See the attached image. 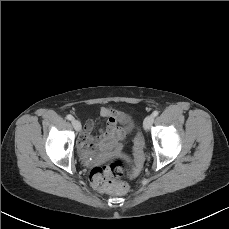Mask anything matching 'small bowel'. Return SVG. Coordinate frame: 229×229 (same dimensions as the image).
I'll list each match as a JSON object with an SVG mask.
<instances>
[{"instance_id": "1", "label": "small bowel", "mask_w": 229, "mask_h": 229, "mask_svg": "<svg viewBox=\"0 0 229 229\" xmlns=\"http://www.w3.org/2000/svg\"><path fill=\"white\" fill-rule=\"evenodd\" d=\"M100 115L107 121L106 128L101 132V135L98 138H95L92 135L93 124L88 122L84 126L82 135L77 142L78 150L86 162L90 155V149L96 141H99L100 149L104 152H121L128 128L120 129L117 126V122H122L126 126L131 124L128 116L108 107H102ZM100 160V157L94 158V161L96 162Z\"/></svg>"}]
</instances>
